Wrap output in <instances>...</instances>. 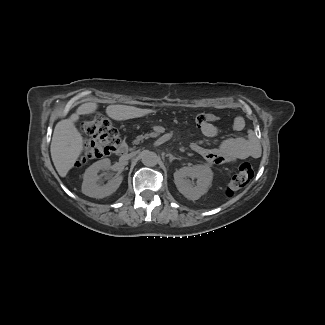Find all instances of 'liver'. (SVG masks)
I'll return each mask as SVG.
<instances>
[{
	"instance_id": "1",
	"label": "liver",
	"mask_w": 325,
	"mask_h": 325,
	"mask_svg": "<svg viewBox=\"0 0 325 325\" xmlns=\"http://www.w3.org/2000/svg\"><path fill=\"white\" fill-rule=\"evenodd\" d=\"M97 108L98 104L95 102L83 103L68 119L56 124L50 152L54 166L61 177L67 175L83 151L84 139L76 128L75 122L78 121L79 115L92 114ZM155 111L127 105H109L106 108V114L118 121L142 117Z\"/></svg>"
}]
</instances>
